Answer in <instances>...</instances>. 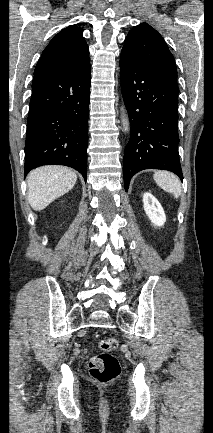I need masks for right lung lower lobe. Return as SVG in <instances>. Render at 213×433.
Listing matches in <instances>:
<instances>
[{"label": "right lung lower lobe", "mask_w": 213, "mask_h": 433, "mask_svg": "<svg viewBox=\"0 0 213 433\" xmlns=\"http://www.w3.org/2000/svg\"><path fill=\"white\" fill-rule=\"evenodd\" d=\"M90 60L65 72L35 74L25 142L24 174L59 164L87 178Z\"/></svg>", "instance_id": "1"}]
</instances>
